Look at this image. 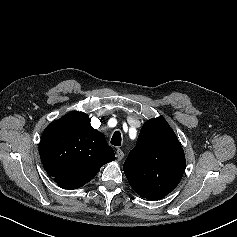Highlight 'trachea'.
Here are the masks:
<instances>
[{
	"mask_svg": "<svg viewBox=\"0 0 237 237\" xmlns=\"http://www.w3.org/2000/svg\"><path fill=\"white\" fill-rule=\"evenodd\" d=\"M110 143L113 146H117V147L121 146V133L119 131L114 132Z\"/></svg>",
	"mask_w": 237,
	"mask_h": 237,
	"instance_id": "trachea-1",
	"label": "trachea"
}]
</instances>
